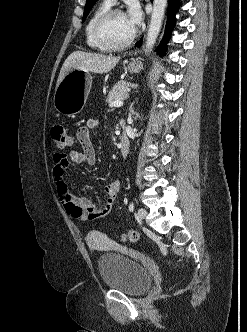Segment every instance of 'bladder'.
I'll list each match as a JSON object with an SVG mask.
<instances>
[{
	"label": "bladder",
	"instance_id": "obj_1",
	"mask_svg": "<svg viewBox=\"0 0 247 332\" xmlns=\"http://www.w3.org/2000/svg\"><path fill=\"white\" fill-rule=\"evenodd\" d=\"M94 237H88L92 243ZM98 270L103 284L130 296H139L149 290L152 276L144 256L130 257L118 252H108L98 258Z\"/></svg>",
	"mask_w": 247,
	"mask_h": 332
}]
</instances>
